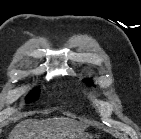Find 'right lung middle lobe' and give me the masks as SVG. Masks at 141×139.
<instances>
[{
  "label": "right lung middle lobe",
  "mask_w": 141,
  "mask_h": 139,
  "mask_svg": "<svg viewBox=\"0 0 141 139\" xmlns=\"http://www.w3.org/2000/svg\"><path fill=\"white\" fill-rule=\"evenodd\" d=\"M39 96V92L37 90H32L31 93L27 96V102L35 101Z\"/></svg>",
  "instance_id": "obj_1"
}]
</instances>
